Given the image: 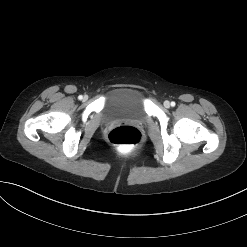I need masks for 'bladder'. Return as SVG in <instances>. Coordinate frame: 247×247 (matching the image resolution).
Returning a JSON list of instances; mask_svg holds the SVG:
<instances>
[{"mask_svg":"<svg viewBox=\"0 0 247 247\" xmlns=\"http://www.w3.org/2000/svg\"><path fill=\"white\" fill-rule=\"evenodd\" d=\"M146 118V99L140 89L117 87L109 91L101 110L102 122L117 120L143 122Z\"/></svg>","mask_w":247,"mask_h":247,"instance_id":"1","label":"bladder"}]
</instances>
